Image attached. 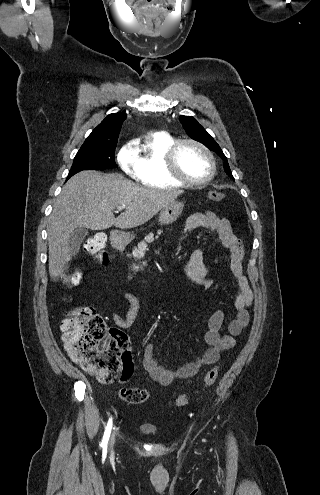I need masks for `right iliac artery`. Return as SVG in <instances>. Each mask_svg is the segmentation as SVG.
Masks as SVG:
<instances>
[{"instance_id": "82829eb1", "label": "right iliac artery", "mask_w": 320, "mask_h": 495, "mask_svg": "<svg viewBox=\"0 0 320 495\" xmlns=\"http://www.w3.org/2000/svg\"><path fill=\"white\" fill-rule=\"evenodd\" d=\"M111 429H112V418H110L108 423H107V426H106V429H105V432L103 435V439H102V442L100 444V446L102 447V449L104 451L107 450V444H108V440L110 437Z\"/></svg>"}]
</instances>
